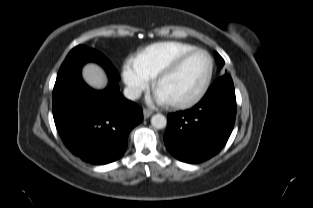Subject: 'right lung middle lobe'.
Here are the masks:
<instances>
[{
	"mask_svg": "<svg viewBox=\"0 0 313 208\" xmlns=\"http://www.w3.org/2000/svg\"><path fill=\"white\" fill-rule=\"evenodd\" d=\"M81 48H82V45H79V46L75 47L74 49H72L71 52H74V51L79 50Z\"/></svg>",
	"mask_w": 313,
	"mask_h": 208,
	"instance_id": "1",
	"label": "right lung middle lobe"
}]
</instances>
